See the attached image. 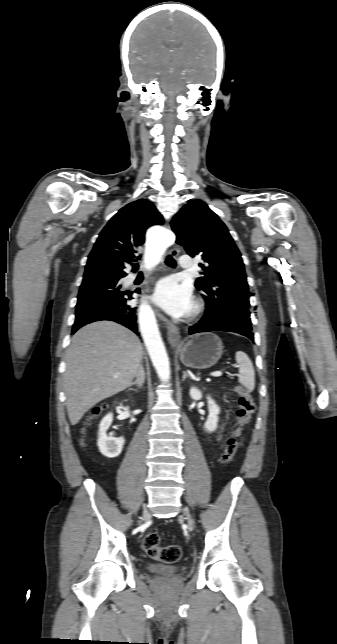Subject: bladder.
Returning <instances> with one entry per match:
<instances>
[{
	"label": "bladder",
	"mask_w": 337,
	"mask_h": 644,
	"mask_svg": "<svg viewBox=\"0 0 337 644\" xmlns=\"http://www.w3.org/2000/svg\"><path fill=\"white\" fill-rule=\"evenodd\" d=\"M145 568L147 571L158 575H175L182 571L181 566L161 563H147Z\"/></svg>",
	"instance_id": "bladder-1"
}]
</instances>
